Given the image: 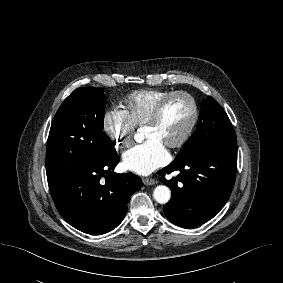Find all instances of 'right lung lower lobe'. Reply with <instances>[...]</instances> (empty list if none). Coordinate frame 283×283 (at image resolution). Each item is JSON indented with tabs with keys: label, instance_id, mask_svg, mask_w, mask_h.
<instances>
[{
	"label": "right lung lower lobe",
	"instance_id": "obj_1",
	"mask_svg": "<svg viewBox=\"0 0 283 283\" xmlns=\"http://www.w3.org/2000/svg\"><path fill=\"white\" fill-rule=\"evenodd\" d=\"M118 162L114 150L92 164L48 178L53 201L70 225L87 234L101 235L121 223L130 197L142 181L131 172L115 173Z\"/></svg>",
	"mask_w": 283,
	"mask_h": 283
}]
</instances>
